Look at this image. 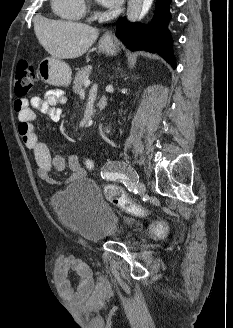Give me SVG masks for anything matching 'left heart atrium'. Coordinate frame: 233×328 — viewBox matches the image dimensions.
Here are the masks:
<instances>
[{
	"label": "left heart atrium",
	"instance_id": "1",
	"mask_svg": "<svg viewBox=\"0 0 233 328\" xmlns=\"http://www.w3.org/2000/svg\"><path fill=\"white\" fill-rule=\"evenodd\" d=\"M98 2L105 7L116 8L123 2V0H98Z\"/></svg>",
	"mask_w": 233,
	"mask_h": 328
}]
</instances>
